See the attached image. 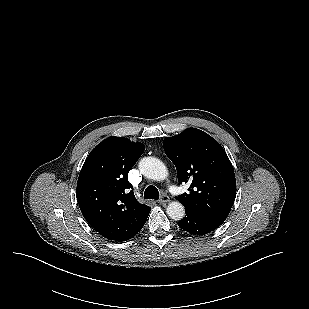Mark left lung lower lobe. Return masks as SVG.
Listing matches in <instances>:
<instances>
[{
  "label": "left lung lower lobe",
  "instance_id": "obj_1",
  "mask_svg": "<svg viewBox=\"0 0 309 309\" xmlns=\"http://www.w3.org/2000/svg\"><path fill=\"white\" fill-rule=\"evenodd\" d=\"M221 224L202 213L187 210L186 216L178 222L180 228L193 235H205L218 228Z\"/></svg>",
  "mask_w": 309,
  "mask_h": 309
}]
</instances>
